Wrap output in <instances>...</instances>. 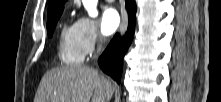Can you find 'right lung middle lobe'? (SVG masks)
Masks as SVG:
<instances>
[{"instance_id":"obj_1","label":"right lung middle lobe","mask_w":221,"mask_h":102,"mask_svg":"<svg viewBox=\"0 0 221 102\" xmlns=\"http://www.w3.org/2000/svg\"><path fill=\"white\" fill-rule=\"evenodd\" d=\"M62 11H63V9L59 10L58 12L54 13L51 17L48 18L47 33L50 37L53 35V30L56 26L58 19L60 18L61 14H62Z\"/></svg>"}]
</instances>
